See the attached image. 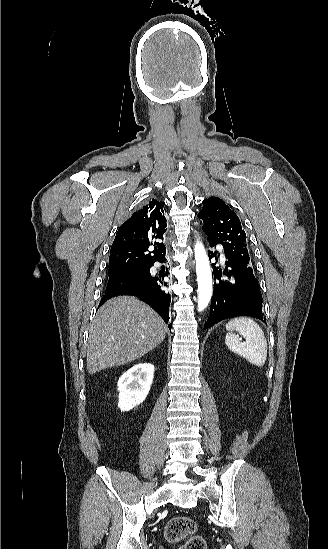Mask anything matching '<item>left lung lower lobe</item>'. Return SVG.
<instances>
[{
  "label": "left lung lower lobe",
  "instance_id": "obj_1",
  "mask_svg": "<svg viewBox=\"0 0 328 549\" xmlns=\"http://www.w3.org/2000/svg\"><path fill=\"white\" fill-rule=\"evenodd\" d=\"M214 256L216 254L209 251V258ZM212 267L214 279L217 282L214 283L210 316L204 328L237 316L254 317L266 322L262 312L261 291L253 271L228 257H226V267L223 271L215 264ZM222 274L228 279H221Z\"/></svg>",
  "mask_w": 328,
  "mask_h": 549
}]
</instances>
